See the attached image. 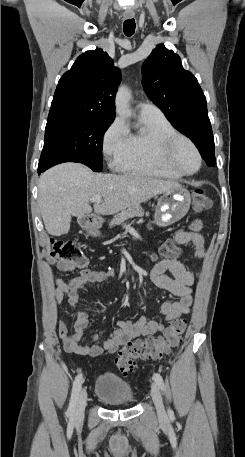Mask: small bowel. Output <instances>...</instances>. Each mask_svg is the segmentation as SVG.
<instances>
[{"label":"small bowel","instance_id":"obj_1","mask_svg":"<svg viewBox=\"0 0 245 457\" xmlns=\"http://www.w3.org/2000/svg\"><path fill=\"white\" fill-rule=\"evenodd\" d=\"M202 221L195 219L188 230H180L175 235V241L179 245L192 244L199 257L204 255V238L201 234ZM49 265L56 266L60 271H72L76 268L75 263L48 258ZM116 272L112 269L95 271L83 269L79 275L63 280L54 276L56 287L55 297L58 304L64 298L67 299L70 312L75 316L73 331H69L64 321L60 320L57 325L59 337L64 349L68 353L97 357L103 353H114L121 346L140 336H152L162 332L165 325L182 314L190 312L192 304V284L194 275L183 264L174 258H166L157 262L149 273L150 280L158 288L175 296L173 300H167L161 305L162 321L149 319L145 315L137 320L128 319L118 321V327L105 340L101 341L98 334H93L89 343L81 342L89 323V316L85 311L78 309L79 292L88 283L102 282L109 277H115Z\"/></svg>","mask_w":245,"mask_h":457}]
</instances>
